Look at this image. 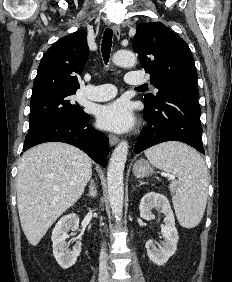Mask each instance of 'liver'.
Masks as SVG:
<instances>
[{
	"mask_svg": "<svg viewBox=\"0 0 232 282\" xmlns=\"http://www.w3.org/2000/svg\"><path fill=\"white\" fill-rule=\"evenodd\" d=\"M92 175L91 159L61 142L40 144L20 159L16 180L22 230L36 246L49 227L84 192Z\"/></svg>",
	"mask_w": 232,
	"mask_h": 282,
	"instance_id": "liver-1",
	"label": "liver"
}]
</instances>
